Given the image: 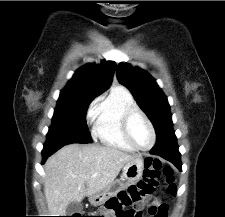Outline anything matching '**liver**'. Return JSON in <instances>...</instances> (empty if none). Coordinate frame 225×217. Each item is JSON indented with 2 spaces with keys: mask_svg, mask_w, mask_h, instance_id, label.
<instances>
[{
  "mask_svg": "<svg viewBox=\"0 0 225 217\" xmlns=\"http://www.w3.org/2000/svg\"><path fill=\"white\" fill-rule=\"evenodd\" d=\"M119 149L93 144H69L44 165V193L50 214L66 216L70 202H80L112 184L123 166L137 158Z\"/></svg>",
  "mask_w": 225,
  "mask_h": 217,
  "instance_id": "1",
  "label": "liver"
}]
</instances>
